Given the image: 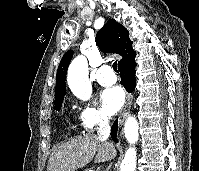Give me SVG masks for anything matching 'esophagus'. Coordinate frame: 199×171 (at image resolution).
Wrapping results in <instances>:
<instances>
[{
  "mask_svg": "<svg viewBox=\"0 0 199 171\" xmlns=\"http://www.w3.org/2000/svg\"><path fill=\"white\" fill-rule=\"evenodd\" d=\"M132 101H133V95L128 94L124 108H123L122 113H121L119 120H118V124H119L120 127L123 125L127 115L130 112Z\"/></svg>",
  "mask_w": 199,
  "mask_h": 171,
  "instance_id": "34e87169",
  "label": "esophagus"
}]
</instances>
